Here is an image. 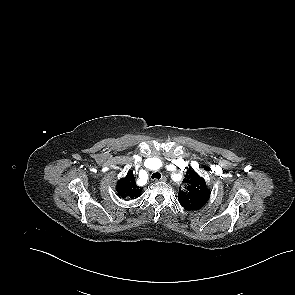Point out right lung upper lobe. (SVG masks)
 Here are the masks:
<instances>
[{
  "label": "right lung upper lobe",
  "instance_id": "obj_1",
  "mask_svg": "<svg viewBox=\"0 0 295 295\" xmlns=\"http://www.w3.org/2000/svg\"><path fill=\"white\" fill-rule=\"evenodd\" d=\"M140 187L136 185L135 177L131 171H129L125 178L118 181L117 192L120 197H128L135 199L140 196Z\"/></svg>",
  "mask_w": 295,
  "mask_h": 295
}]
</instances>
